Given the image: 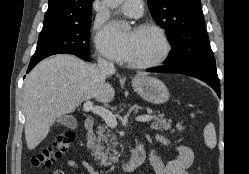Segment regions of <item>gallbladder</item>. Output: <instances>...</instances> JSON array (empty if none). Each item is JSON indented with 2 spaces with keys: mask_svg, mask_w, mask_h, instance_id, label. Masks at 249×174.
<instances>
[{
  "mask_svg": "<svg viewBox=\"0 0 249 174\" xmlns=\"http://www.w3.org/2000/svg\"><path fill=\"white\" fill-rule=\"evenodd\" d=\"M57 122L66 126V127L72 128V129L76 128V126H77L76 119L73 116H69V115L60 116L57 119Z\"/></svg>",
  "mask_w": 249,
  "mask_h": 174,
  "instance_id": "1",
  "label": "gallbladder"
}]
</instances>
